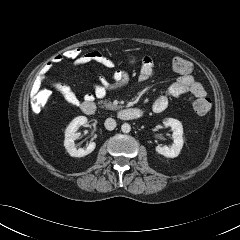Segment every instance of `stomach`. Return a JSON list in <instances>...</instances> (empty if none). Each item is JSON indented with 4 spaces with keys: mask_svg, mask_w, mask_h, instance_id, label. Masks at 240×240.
I'll return each mask as SVG.
<instances>
[{
    "mask_svg": "<svg viewBox=\"0 0 240 240\" xmlns=\"http://www.w3.org/2000/svg\"><path fill=\"white\" fill-rule=\"evenodd\" d=\"M127 60H128L130 63H134V62H136V60H137V56L131 54V55H129V56L127 57Z\"/></svg>",
    "mask_w": 240,
    "mask_h": 240,
    "instance_id": "obj_1",
    "label": "stomach"
}]
</instances>
